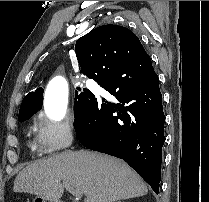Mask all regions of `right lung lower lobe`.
<instances>
[{"label":"right lung lower lobe","mask_w":209,"mask_h":202,"mask_svg":"<svg viewBox=\"0 0 209 202\" xmlns=\"http://www.w3.org/2000/svg\"><path fill=\"white\" fill-rule=\"evenodd\" d=\"M141 63L143 69L128 75L123 84L112 78L98 83L115 99L100 104L93 95L82 114L75 117L74 128L81 144L123 159L158 194L165 116L149 55Z\"/></svg>","instance_id":"1"}]
</instances>
